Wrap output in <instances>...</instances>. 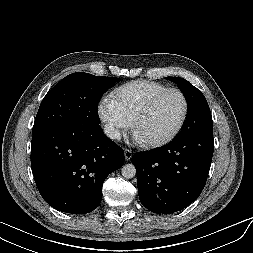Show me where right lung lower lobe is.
I'll return each instance as SVG.
<instances>
[{"mask_svg":"<svg viewBox=\"0 0 253 253\" xmlns=\"http://www.w3.org/2000/svg\"><path fill=\"white\" fill-rule=\"evenodd\" d=\"M31 168L43 199L73 214L93 211L107 176L124 164V151L100 126L77 125L33 135Z\"/></svg>","mask_w":253,"mask_h":253,"instance_id":"98d812e1","label":"right lung lower lobe"}]
</instances>
